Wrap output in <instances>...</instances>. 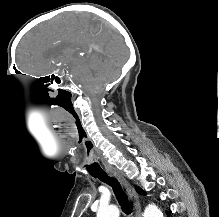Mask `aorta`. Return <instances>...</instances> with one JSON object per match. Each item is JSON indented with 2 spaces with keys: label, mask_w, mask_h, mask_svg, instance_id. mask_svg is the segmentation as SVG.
<instances>
[{
  "label": "aorta",
  "mask_w": 219,
  "mask_h": 217,
  "mask_svg": "<svg viewBox=\"0 0 219 217\" xmlns=\"http://www.w3.org/2000/svg\"><path fill=\"white\" fill-rule=\"evenodd\" d=\"M119 214V209L112 205L99 208L97 217H119ZM144 217H163V214L156 205H148L145 208Z\"/></svg>",
  "instance_id": "1"
}]
</instances>
